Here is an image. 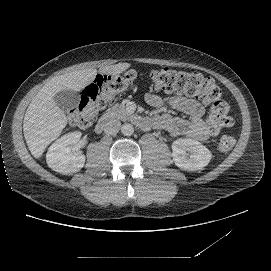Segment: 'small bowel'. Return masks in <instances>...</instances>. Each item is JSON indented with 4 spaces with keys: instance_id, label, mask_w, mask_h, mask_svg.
<instances>
[{
    "instance_id": "1",
    "label": "small bowel",
    "mask_w": 271,
    "mask_h": 271,
    "mask_svg": "<svg viewBox=\"0 0 271 271\" xmlns=\"http://www.w3.org/2000/svg\"><path fill=\"white\" fill-rule=\"evenodd\" d=\"M146 102L152 107L169 105L187 115V118H179L164 114L154 119V124L166 130L171 136H186L205 141L212 135L203 119L205 108L197 100L183 96L163 98L157 94L148 93Z\"/></svg>"
}]
</instances>
